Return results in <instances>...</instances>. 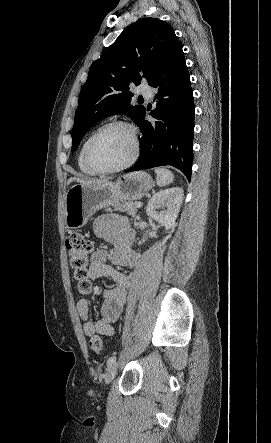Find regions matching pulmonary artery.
I'll return each instance as SVG.
<instances>
[{
	"label": "pulmonary artery",
	"mask_w": 271,
	"mask_h": 443,
	"mask_svg": "<svg viewBox=\"0 0 271 443\" xmlns=\"http://www.w3.org/2000/svg\"><path fill=\"white\" fill-rule=\"evenodd\" d=\"M142 94L146 99H151L154 96V91L152 89H148V90L142 91Z\"/></svg>",
	"instance_id": "1"
}]
</instances>
